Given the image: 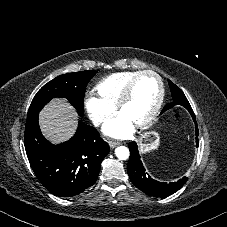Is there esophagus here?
Returning <instances> with one entry per match:
<instances>
[{"instance_id": "34e87169", "label": "esophagus", "mask_w": 227, "mask_h": 227, "mask_svg": "<svg viewBox=\"0 0 227 227\" xmlns=\"http://www.w3.org/2000/svg\"><path fill=\"white\" fill-rule=\"evenodd\" d=\"M119 145V142H116V141H109V146L111 147V148H115L116 146H118Z\"/></svg>"}]
</instances>
